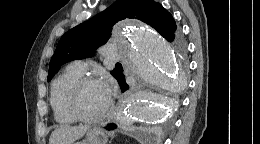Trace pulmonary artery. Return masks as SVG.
<instances>
[{
	"mask_svg": "<svg viewBox=\"0 0 260 144\" xmlns=\"http://www.w3.org/2000/svg\"><path fill=\"white\" fill-rule=\"evenodd\" d=\"M101 52L109 61H117V60L122 59V57L118 53V51L112 46H104L101 49ZM72 66L82 73H84L87 69L86 63L82 60L75 61L72 64Z\"/></svg>",
	"mask_w": 260,
	"mask_h": 144,
	"instance_id": "e3ab8cb5",
	"label": "pulmonary artery"
}]
</instances>
